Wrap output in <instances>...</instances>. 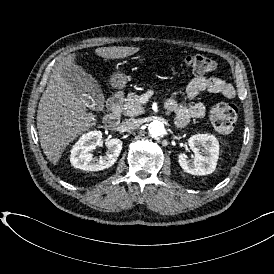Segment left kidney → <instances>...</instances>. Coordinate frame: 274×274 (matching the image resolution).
Masks as SVG:
<instances>
[{"instance_id":"left-kidney-1","label":"left kidney","mask_w":274,"mask_h":274,"mask_svg":"<svg viewBox=\"0 0 274 274\" xmlns=\"http://www.w3.org/2000/svg\"><path fill=\"white\" fill-rule=\"evenodd\" d=\"M188 145L194 152L193 160L180 153L178 162L181 168L192 175H207L215 171L219 157V142L214 135L195 134L188 139Z\"/></svg>"}]
</instances>
